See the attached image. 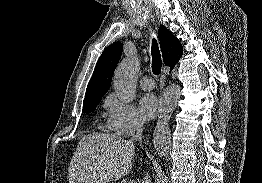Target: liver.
<instances>
[{
	"mask_svg": "<svg viewBox=\"0 0 262 183\" xmlns=\"http://www.w3.org/2000/svg\"><path fill=\"white\" fill-rule=\"evenodd\" d=\"M134 144L106 133L85 135L68 168L69 183H110L127 175L134 159Z\"/></svg>",
	"mask_w": 262,
	"mask_h": 183,
	"instance_id": "1",
	"label": "liver"
}]
</instances>
